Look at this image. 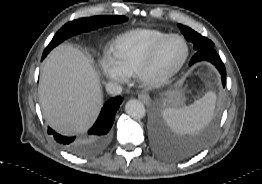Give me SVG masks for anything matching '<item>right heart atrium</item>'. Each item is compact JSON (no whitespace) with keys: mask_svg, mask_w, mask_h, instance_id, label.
Segmentation results:
<instances>
[{"mask_svg":"<svg viewBox=\"0 0 262 184\" xmlns=\"http://www.w3.org/2000/svg\"><path fill=\"white\" fill-rule=\"evenodd\" d=\"M99 68L101 73L110 81L122 83L127 78V74L110 56H105L100 60Z\"/></svg>","mask_w":262,"mask_h":184,"instance_id":"d8ad5b80","label":"right heart atrium"}]
</instances>
